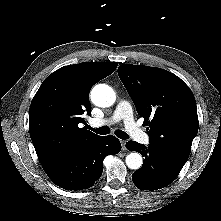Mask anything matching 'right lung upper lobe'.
<instances>
[{
  "instance_id": "cb5924a9",
  "label": "right lung upper lobe",
  "mask_w": 221,
  "mask_h": 221,
  "mask_svg": "<svg viewBox=\"0 0 221 221\" xmlns=\"http://www.w3.org/2000/svg\"><path fill=\"white\" fill-rule=\"evenodd\" d=\"M117 65L116 62L69 65L41 84L30 106L29 132L45 172L99 137L79 124H86L83 114H91L88 97L91 87L112 74Z\"/></svg>"
}]
</instances>
